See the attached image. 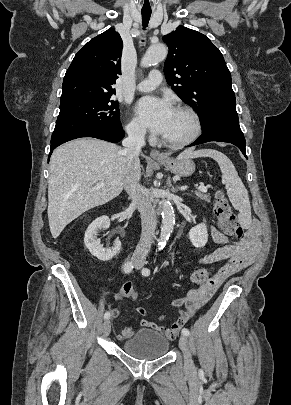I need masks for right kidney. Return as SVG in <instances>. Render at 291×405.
Returning a JSON list of instances; mask_svg holds the SVG:
<instances>
[{
	"mask_svg": "<svg viewBox=\"0 0 291 405\" xmlns=\"http://www.w3.org/2000/svg\"><path fill=\"white\" fill-rule=\"evenodd\" d=\"M110 226V219L108 216H101L95 219L87 228L84 236V244L90 253L101 261L111 260L117 255L121 249V241L117 238L114 246L111 248H104L100 240L97 239V233L101 229H107Z\"/></svg>",
	"mask_w": 291,
	"mask_h": 405,
	"instance_id": "right-kidney-1",
	"label": "right kidney"
}]
</instances>
